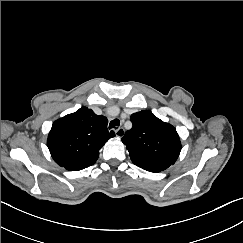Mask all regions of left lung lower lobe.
Here are the masks:
<instances>
[{"mask_svg": "<svg viewBox=\"0 0 243 243\" xmlns=\"http://www.w3.org/2000/svg\"><path fill=\"white\" fill-rule=\"evenodd\" d=\"M142 169L150 171V172H160L162 169L155 168V167H143Z\"/></svg>", "mask_w": 243, "mask_h": 243, "instance_id": "obj_1", "label": "left lung lower lobe"}]
</instances>
